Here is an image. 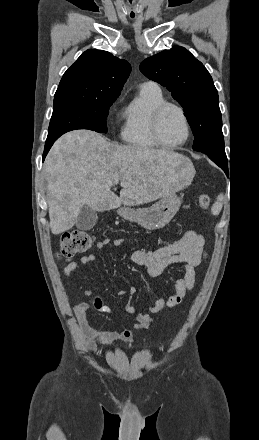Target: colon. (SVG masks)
I'll return each mask as SVG.
<instances>
[{
  "label": "colon",
  "mask_w": 259,
  "mask_h": 440,
  "mask_svg": "<svg viewBox=\"0 0 259 440\" xmlns=\"http://www.w3.org/2000/svg\"><path fill=\"white\" fill-rule=\"evenodd\" d=\"M198 204L202 209H207L210 205V197L201 194L198 197ZM94 243V237L82 230H73L62 235L60 241L59 256L70 258L79 253L87 251Z\"/></svg>",
  "instance_id": "obj_1"
}]
</instances>
